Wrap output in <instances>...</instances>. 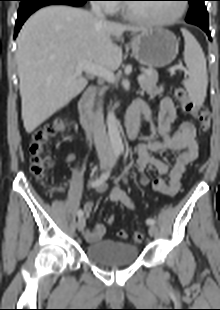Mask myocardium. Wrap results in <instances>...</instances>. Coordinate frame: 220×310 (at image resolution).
Returning <instances> with one entry per match:
<instances>
[{
	"instance_id": "1",
	"label": "myocardium",
	"mask_w": 220,
	"mask_h": 310,
	"mask_svg": "<svg viewBox=\"0 0 220 310\" xmlns=\"http://www.w3.org/2000/svg\"><path fill=\"white\" fill-rule=\"evenodd\" d=\"M185 11H186L185 4L183 2H180L177 13L172 17L163 20H152L132 13L131 10L129 9L128 4H124L122 6V13L127 19L138 24L152 27H164L174 24L183 17Z\"/></svg>"
}]
</instances>
